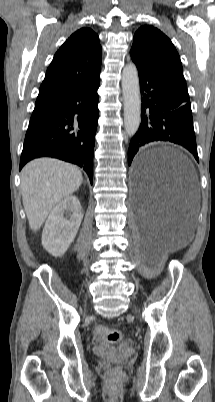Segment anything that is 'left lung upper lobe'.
Returning a JSON list of instances; mask_svg holds the SVG:
<instances>
[{
  "label": "left lung upper lobe",
  "instance_id": "left-lung-upper-lobe-1",
  "mask_svg": "<svg viewBox=\"0 0 215 402\" xmlns=\"http://www.w3.org/2000/svg\"><path fill=\"white\" fill-rule=\"evenodd\" d=\"M130 55L139 70L161 77L188 95L179 54L159 29L151 25L141 26L134 35Z\"/></svg>",
  "mask_w": 215,
  "mask_h": 402
}]
</instances>
